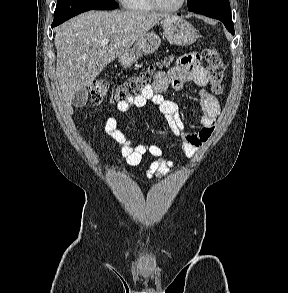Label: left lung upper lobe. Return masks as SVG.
I'll use <instances>...</instances> for the list:
<instances>
[{
  "mask_svg": "<svg viewBox=\"0 0 288 293\" xmlns=\"http://www.w3.org/2000/svg\"><path fill=\"white\" fill-rule=\"evenodd\" d=\"M188 10L219 20L232 21L228 0H187Z\"/></svg>",
  "mask_w": 288,
  "mask_h": 293,
  "instance_id": "5c2ea615",
  "label": "left lung upper lobe"
}]
</instances>
